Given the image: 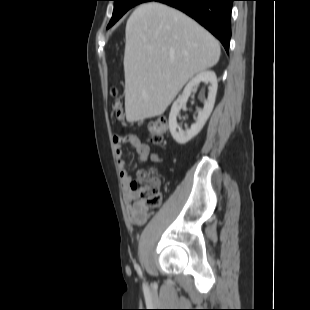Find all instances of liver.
Segmentation results:
<instances>
[{
  "mask_svg": "<svg viewBox=\"0 0 310 310\" xmlns=\"http://www.w3.org/2000/svg\"><path fill=\"white\" fill-rule=\"evenodd\" d=\"M128 122L162 115L194 75L216 65L218 41L182 12L157 2L137 7L126 24Z\"/></svg>",
  "mask_w": 310,
  "mask_h": 310,
  "instance_id": "6515ba94",
  "label": "liver"
}]
</instances>
